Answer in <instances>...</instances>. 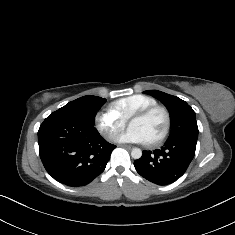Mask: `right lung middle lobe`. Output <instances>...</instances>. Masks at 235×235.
<instances>
[{"label": "right lung middle lobe", "instance_id": "dd1d6c3e", "mask_svg": "<svg viewBox=\"0 0 235 235\" xmlns=\"http://www.w3.org/2000/svg\"><path fill=\"white\" fill-rule=\"evenodd\" d=\"M104 102L105 99L101 97L83 96L69 102L53 113L64 114L79 119L87 124L94 125L96 111H98V109Z\"/></svg>", "mask_w": 235, "mask_h": 235}]
</instances>
